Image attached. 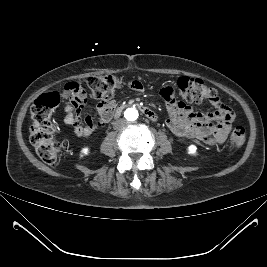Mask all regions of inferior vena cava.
Instances as JSON below:
<instances>
[{
  "instance_id": "inferior-vena-cava-1",
  "label": "inferior vena cava",
  "mask_w": 267,
  "mask_h": 267,
  "mask_svg": "<svg viewBox=\"0 0 267 267\" xmlns=\"http://www.w3.org/2000/svg\"><path fill=\"white\" fill-rule=\"evenodd\" d=\"M127 125V121L123 118H120L118 120H116L113 123V127L114 129H122L123 127H125Z\"/></svg>"
}]
</instances>
